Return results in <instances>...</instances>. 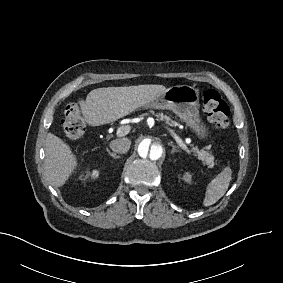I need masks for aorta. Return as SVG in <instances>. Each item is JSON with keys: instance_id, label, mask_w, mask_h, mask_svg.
Here are the masks:
<instances>
[{"instance_id": "1", "label": "aorta", "mask_w": 283, "mask_h": 283, "mask_svg": "<svg viewBox=\"0 0 283 283\" xmlns=\"http://www.w3.org/2000/svg\"><path fill=\"white\" fill-rule=\"evenodd\" d=\"M164 139L156 134H147L137 141V153L145 164L161 162L165 155Z\"/></svg>"}]
</instances>
